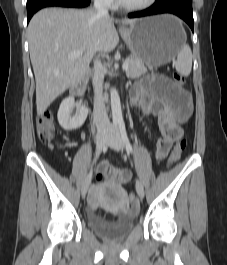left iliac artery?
<instances>
[{"label":"left iliac artery","mask_w":227,"mask_h":265,"mask_svg":"<svg viewBox=\"0 0 227 265\" xmlns=\"http://www.w3.org/2000/svg\"><path fill=\"white\" fill-rule=\"evenodd\" d=\"M119 130H120V134H121V137L123 139V142L126 146V149L130 152H133V149H132V146H131V143L129 141V138L127 136V132H126V128H125V124L123 121H120L119 123Z\"/></svg>","instance_id":"left-iliac-artery-1"}]
</instances>
